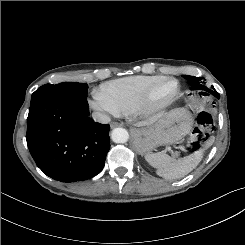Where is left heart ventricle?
<instances>
[{
  "mask_svg": "<svg viewBox=\"0 0 245 245\" xmlns=\"http://www.w3.org/2000/svg\"><path fill=\"white\" fill-rule=\"evenodd\" d=\"M173 88H174V84H173V83H170V84H168V85L165 87L164 92H165V93H168V92H170Z\"/></svg>",
  "mask_w": 245,
  "mask_h": 245,
  "instance_id": "obj_1",
  "label": "left heart ventricle"
}]
</instances>
